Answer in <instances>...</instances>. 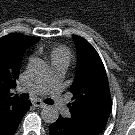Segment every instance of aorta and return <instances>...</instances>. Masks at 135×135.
<instances>
[{
	"label": "aorta",
	"instance_id": "aorta-1",
	"mask_svg": "<svg viewBox=\"0 0 135 135\" xmlns=\"http://www.w3.org/2000/svg\"><path fill=\"white\" fill-rule=\"evenodd\" d=\"M27 70L34 79L45 78L49 73L48 65L39 58L32 59L27 66ZM41 117L44 122L52 124L59 118V111L54 106H47L41 111Z\"/></svg>",
	"mask_w": 135,
	"mask_h": 135
}]
</instances>
